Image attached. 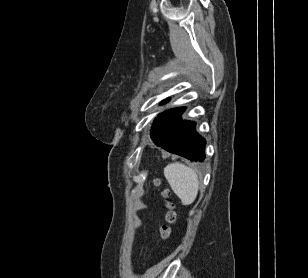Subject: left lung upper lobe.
<instances>
[{
  "label": "left lung upper lobe",
  "mask_w": 308,
  "mask_h": 278,
  "mask_svg": "<svg viewBox=\"0 0 308 278\" xmlns=\"http://www.w3.org/2000/svg\"><path fill=\"white\" fill-rule=\"evenodd\" d=\"M169 100H170V99L164 100V101L162 102V104H163V103H167Z\"/></svg>",
  "instance_id": "1"
}]
</instances>
